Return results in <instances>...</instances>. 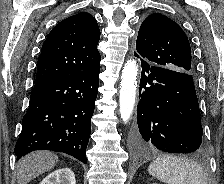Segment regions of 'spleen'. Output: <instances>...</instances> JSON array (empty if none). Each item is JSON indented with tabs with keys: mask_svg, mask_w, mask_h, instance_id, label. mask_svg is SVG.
<instances>
[{
	"mask_svg": "<svg viewBox=\"0 0 224 184\" xmlns=\"http://www.w3.org/2000/svg\"><path fill=\"white\" fill-rule=\"evenodd\" d=\"M148 172L167 184H207L202 167L185 158L158 157L149 165Z\"/></svg>",
	"mask_w": 224,
	"mask_h": 184,
	"instance_id": "3e777b00",
	"label": "spleen"
}]
</instances>
